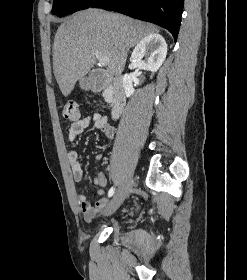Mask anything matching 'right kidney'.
<instances>
[{"label":"right kidney","mask_w":247,"mask_h":280,"mask_svg":"<svg viewBox=\"0 0 247 280\" xmlns=\"http://www.w3.org/2000/svg\"><path fill=\"white\" fill-rule=\"evenodd\" d=\"M166 55L167 44L165 39L158 33H152L144 37L133 50L130 58L131 66L154 73L164 62ZM143 57H146V60H142ZM123 87L126 97L134 94L133 81L128 74L123 78Z\"/></svg>","instance_id":"ca27d5eb"}]
</instances>
